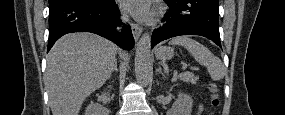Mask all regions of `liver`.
I'll list each match as a JSON object with an SVG mask.
<instances>
[{
    "label": "liver",
    "instance_id": "1",
    "mask_svg": "<svg viewBox=\"0 0 285 115\" xmlns=\"http://www.w3.org/2000/svg\"><path fill=\"white\" fill-rule=\"evenodd\" d=\"M112 42L90 33L61 37L47 56L45 85L53 115H78L84 100L111 74L116 54Z\"/></svg>",
    "mask_w": 285,
    "mask_h": 115
}]
</instances>
